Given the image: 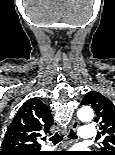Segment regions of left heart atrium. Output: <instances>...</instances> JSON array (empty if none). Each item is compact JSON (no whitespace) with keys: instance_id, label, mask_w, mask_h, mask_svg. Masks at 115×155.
<instances>
[{"instance_id":"obj_1","label":"left heart atrium","mask_w":115,"mask_h":155,"mask_svg":"<svg viewBox=\"0 0 115 155\" xmlns=\"http://www.w3.org/2000/svg\"><path fill=\"white\" fill-rule=\"evenodd\" d=\"M70 155H78V154H70Z\"/></svg>"}]
</instances>
